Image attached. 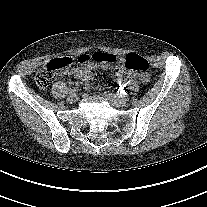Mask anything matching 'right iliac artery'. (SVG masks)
Instances as JSON below:
<instances>
[{
    "mask_svg": "<svg viewBox=\"0 0 207 207\" xmlns=\"http://www.w3.org/2000/svg\"><path fill=\"white\" fill-rule=\"evenodd\" d=\"M75 92H76V88H75V87H72V88L69 89L68 94H69V95H74Z\"/></svg>",
    "mask_w": 207,
    "mask_h": 207,
    "instance_id": "right-iliac-artery-1",
    "label": "right iliac artery"
}]
</instances>
